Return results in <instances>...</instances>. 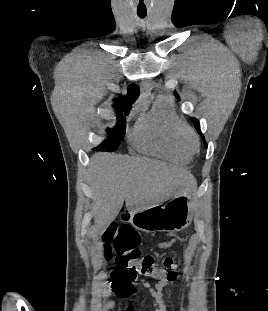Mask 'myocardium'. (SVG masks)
I'll return each mask as SVG.
<instances>
[{"label":"myocardium","mask_w":268,"mask_h":311,"mask_svg":"<svg viewBox=\"0 0 268 311\" xmlns=\"http://www.w3.org/2000/svg\"><path fill=\"white\" fill-rule=\"evenodd\" d=\"M176 134L179 143L190 153L199 149V138L188 123L180 120L177 124Z\"/></svg>","instance_id":"f54148a6"}]
</instances>
